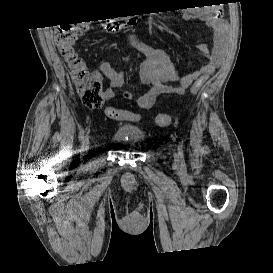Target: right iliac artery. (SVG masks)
<instances>
[{
	"label": "right iliac artery",
	"instance_id": "right-iliac-artery-1",
	"mask_svg": "<svg viewBox=\"0 0 273 273\" xmlns=\"http://www.w3.org/2000/svg\"><path fill=\"white\" fill-rule=\"evenodd\" d=\"M79 141H82V139L84 138V129H80L79 131V135H78Z\"/></svg>",
	"mask_w": 273,
	"mask_h": 273
}]
</instances>
